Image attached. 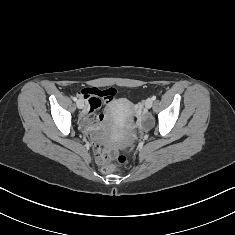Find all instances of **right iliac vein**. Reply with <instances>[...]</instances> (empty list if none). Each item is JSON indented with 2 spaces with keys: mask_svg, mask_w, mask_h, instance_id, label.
I'll return each mask as SVG.
<instances>
[{
  "mask_svg": "<svg viewBox=\"0 0 235 235\" xmlns=\"http://www.w3.org/2000/svg\"><path fill=\"white\" fill-rule=\"evenodd\" d=\"M77 107H78L79 109H82V108L84 107V102H83L82 100H78V101H77Z\"/></svg>",
  "mask_w": 235,
  "mask_h": 235,
  "instance_id": "63e3f726",
  "label": "right iliac vein"
}]
</instances>
